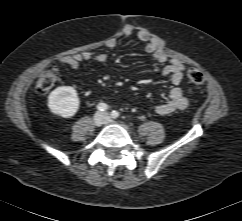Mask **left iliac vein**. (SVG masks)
I'll list each match as a JSON object with an SVG mask.
<instances>
[{"instance_id": "4c4485c4", "label": "left iliac vein", "mask_w": 242, "mask_h": 221, "mask_svg": "<svg viewBox=\"0 0 242 221\" xmlns=\"http://www.w3.org/2000/svg\"><path fill=\"white\" fill-rule=\"evenodd\" d=\"M104 115H106V113H104ZM106 123H111V120H109V118L106 117Z\"/></svg>"}]
</instances>
